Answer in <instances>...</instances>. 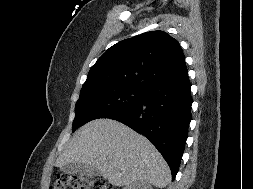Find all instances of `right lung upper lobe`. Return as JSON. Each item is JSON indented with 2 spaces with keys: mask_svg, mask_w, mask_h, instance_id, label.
Instances as JSON below:
<instances>
[{
  "mask_svg": "<svg viewBox=\"0 0 253 189\" xmlns=\"http://www.w3.org/2000/svg\"><path fill=\"white\" fill-rule=\"evenodd\" d=\"M186 78L178 41L164 31H150L110 47L91 67L80 93L109 86L147 91Z\"/></svg>",
  "mask_w": 253,
  "mask_h": 189,
  "instance_id": "1",
  "label": "right lung upper lobe"
}]
</instances>
